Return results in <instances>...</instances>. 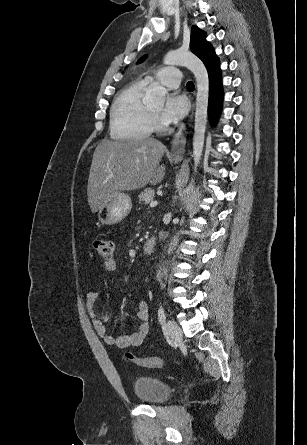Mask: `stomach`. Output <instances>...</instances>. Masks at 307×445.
<instances>
[{
    "instance_id": "obj_1",
    "label": "stomach",
    "mask_w": 307,
    "mask_h": 445,
    "mask_svg": "<svg viewBox=\"0 0 307 445\" xmlns=\"http://www.w3.org/2000/svg\"><path fill=\"white\" fill-rule=\"evenodd\" d=\"M131 208L132 200L129 194L127 192H115L113 196L105 200L102 208H99L97 212L98 220L102 225H116L129 214Z\"/></svg>"
}]
</instances>
